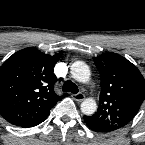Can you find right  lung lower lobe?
I'll use <instances>...</instances> for the list:
<instances>
[{
  "label": "right lung lower lobe",
  "mask_w": 145,
  "mask_h": 145,
  "mask_svg": "<svg viewBox=\"0 0 145 145\" xmlns=\"http://www.w3.org/2000/svg\"><path fill=\"white\" fill-rule=\"evenodd\" d=\"M46 118H47V117H46ZM46 118H44V119H42V120H40V121H38V122H36V123H34V124L24 126V128L36 126V125L42 123Z\"/></svg>",
  "instance_id": "98d812e1"
}]
</instances>
